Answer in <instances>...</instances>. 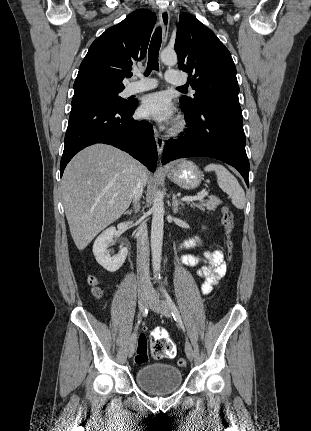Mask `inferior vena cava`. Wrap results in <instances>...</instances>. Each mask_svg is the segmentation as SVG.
<instances>
[{
  "label": "inferior vena cava",
  "mask_w": 311,
  "mask_h": 431,
  "mask_svg": "<svg viewBox=\"0 0 311 431\" xmlns=\"http://www.w3.org/2000/svg\"><path fill=\"white\" fill-rule=\"evenodd\" d=\"M143 184L142 180H138L136 188L133 192V202L136 212H139L138 202L143 194ZM137 235V279H138V293L140 295H145L150 291L151 281L149 275V239L147 225L145 221H142L141 225L138 227Z\"/></svg>",
  "instance_id": "obj_1"
}]
</instances>
